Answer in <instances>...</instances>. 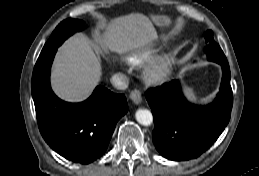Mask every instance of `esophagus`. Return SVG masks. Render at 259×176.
Masks as SVG:
<instances>
[{"label":"esophagus","instance_id":"esophagus-1","mask_svg":"<svg viewBox=\"0 0 259 176\" xmlns=\"http://www.w3.org/2000/svg\"><path fill=\"white\" fill-rule=\"evenodd\" d=\"M130 98L132 102L136 105L140 104L142 102V95L139 90H133L130 94Z\"/></svg>","mask_w":259,"mask_h":176}]
</instances>
